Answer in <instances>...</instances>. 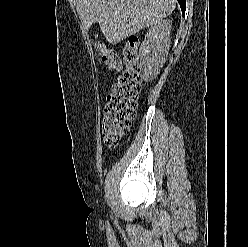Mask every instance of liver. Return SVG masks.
<instances>
[{
  "label": "liver",
  "mask_w": 248,
  "mask_h": 247,
  "mask_svg": "<svg viewBox=\"0 0 248 247\" xmlns=\"http://www.w3.org/2000/svg\"><path fill=\"white\" fill-rule=\"evenodd\" d=\"M83 29L99 23L101 32L111 44L152 26L169 16L176 0H75Z\"/></svg>",
  "instance_id": "liver-1"
}]
</instances>
